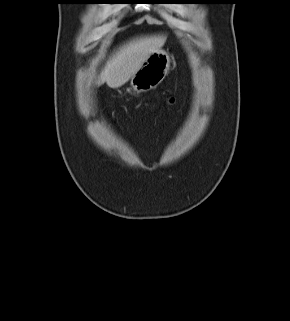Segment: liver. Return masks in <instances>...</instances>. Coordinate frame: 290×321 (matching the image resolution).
<instances>
[{
    "instance_id": "6515ba94",
    "label": "liver",
    "mask_w": 290,
    "mask_h": 321,
    "mask_svg": "<svg viewBox=\"0 0 290 321\" xmlns=\"http://www.w3.org/2000/svg\"><path fill=\"white\" fill-rule=\"evenodd\" d=\"M165 41V35L144 36L128 41L108 58L98 76L97 85L107 83L111 88L121 87L152 53L161 49Z\"/></svg>"
}]
</instances>
